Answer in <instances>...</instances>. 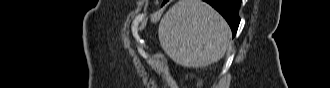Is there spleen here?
Instances as JSON below:
<instances>
[{
  "mask_svg": "<svg viewBox=\"0 0 330 88\" xmlns=\"http://www.w3.org/2000/svg\"><path fill=\"white\" fill-rule=\"evenodd\" d=\"M159 41L178 65L203 67L224 57L230 29L223 17L201 0H180L161 19Z\"/></svg>",
  "mask_w": 330,
  "mask_h": 88,
  "instance_id": "spleen-1",
  "label": "spleen"
}]
</instances>
